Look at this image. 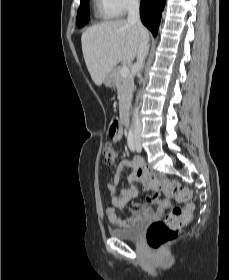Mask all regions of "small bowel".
I'll list each match as a JSON object with an SVG mask.
<instances>
[{"label": "small bowel", "instance_id": "obj_1", "mask_svg": "<svg viewBox=\"0 0 229 280\" xmlns=\"http://www.w3.org/2000/svg\"><path fill=\"white\" fill-rule=\"evenodd\" d=\"M123 131L119 129L116 133L111 135L112 141L114 143H120L122 140ZM126 169H130L128 174V180L133 182L126 189L120 191L118 195H115V187L113 185H108L107 190L111 195L112 206L107 208L106 215L112 224L116 228H126L134 225L139 220H144L150 218L154 215H161L164 208L170 206L167 199H161V195H166L161 189H155V196L150 199L152 204H156L155 210L146 207L140 203H133L130 206L131 215L126 218H121L117 214V209H123L127 203L134 199L138 193V188L136 182L141 181L146 183L148 178L151 176L148 169L143 165L142 161L139 159H123L116 167L113 179L116 184H118L123 176Z\"/></svg>", "mask_w": 229, "mask_h": 280}]
</instances>
